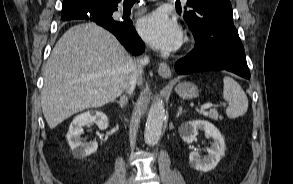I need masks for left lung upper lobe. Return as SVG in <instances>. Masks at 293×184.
Returning <instances> with one entry per match:
<instances>
[{
    "label": "left lung upper lobe",
    "instance_id": "1",
    "mask_svg": "<svg viewBox=\"0 0 293 184\" xmlns=\"http://www.w3.org/2000/svg\"><path fill=\"white\" fill-rule=\"evenodd\" d=\"M186 5L190 9L184 8V19L196 32L223 30L226 22L233 23L230 0H188ZM176 9L182 12L180 2L176 3Z\"/></svg>",
    "mask_w": 293,
    "mask_h": 184
}]
</instances>
